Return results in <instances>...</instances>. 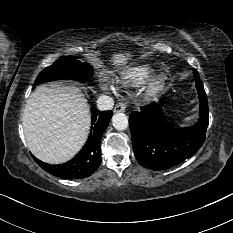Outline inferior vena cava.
<instances>
[{
  "label": "inferior vena cava",
  "instance_id": "602c4592",
  "mask_svg": "<svg viewBox=\"0 0 233 233\" xmlns=\"http://www.w3.org/2000/svg\"><path fill=\"white\" fill-rule=\"evenodd\" d=\"M97 106L101 111L111 110L114 106V100L110 96L101 95L97 100Z\"/></svg>",
  "mask_w": 233,
  "mask_h": 233
}]
</instances>
